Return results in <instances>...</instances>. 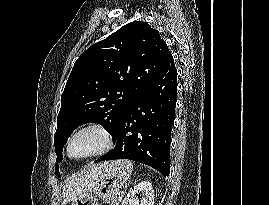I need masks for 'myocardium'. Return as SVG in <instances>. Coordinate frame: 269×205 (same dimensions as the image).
Segmentation results:
<instances>
[{
  "label": "myocardium",
  "instance_id": "obj_1",
  "mask_svg": "<svg viewBox=\"0 0 269 205\" xmlns=\"http://www.w3.org/2000/svg\"><path fill=\"white\" fill-rule=\"evenodd\" d=\"M86 130H95L98 133L101 134L103 140H104V144L103 146L98 149L97 151L90 153L88 155L82 156V157H75L71 154V144L73 139L80 134L83 131ZM114 146V137L112 132L110 131V129L102 122H98V121H93V122H88L85 123L81 126H79L78 128H76L72 134L70 135L68 141H67V146H66V152L67 155L74 160H87V159H91V158H95V157H99L102 156L106 153H108Z\"/></svg>",
  "mask_w": 269,
  "mask_h": 205
}]
</instances>
